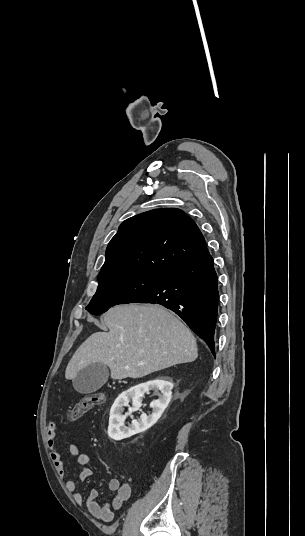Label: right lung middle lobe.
<instances>
[{"label":"right lung middle lobe","mask_w":305,"mask_h":536,"mask_svg":"<svg viewBox=\"0 0 305 536\" xmlns=\"http://www.w3.org/2000/svg\"><path fill=\"white\" fill-rule=\"evenodd\" d=\"M167 275L133 272L98 280L97 291L86 310L99 315L114 305L135 302L155 288Z\"/></svg>","instance_id":"1"}]
</instances>
